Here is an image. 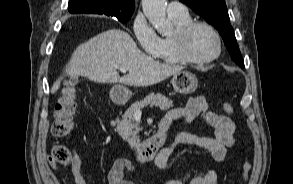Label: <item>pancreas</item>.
Wrapping results in <instances>:
<instances>
[{
    "label": "pancreas",
    "mask_w": 293,
    "mask_h": 184,
    "mask_svg": "<svg viewBox=\"0 0 293 184\" xmlns=\"http://www.w3.org/2000/svg\"><path fill=\"white\" fill-rule=\"evenodd\" d=\"M148 105L151 107H159L161 110H167L173 107V102L160 93H151L143 100L133 103L122 116V120L116 121L117 126L115 130L124 140L134 144L140 142L138 136L140 127L138 123H136L134 116L136 111L143 109Z\"/></svg>",
    "instance_id": "cf45deb5"
}]
</instances>
